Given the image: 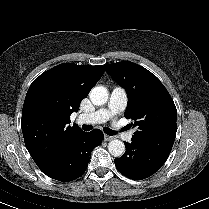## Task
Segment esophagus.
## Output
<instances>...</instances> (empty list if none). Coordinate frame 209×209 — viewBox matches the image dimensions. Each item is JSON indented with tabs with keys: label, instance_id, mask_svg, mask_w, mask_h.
<instances>
[{
	"label": "esophagus",
	"instance_id": "34e87169",
	"mask_svg": "<svg viewBox=\"0 0 209 209\" xmlns=\"http://www.w3.org/2000/svg\"><path fill=\"white\" fill-rule=\"evenodd\" d=\"M114 139V137L113 136H109V135H104V140L105 141H111V140H113Z\"/></svg>",
	"mask_w": 209,
	"mask_h": 209
}]
</instances>
